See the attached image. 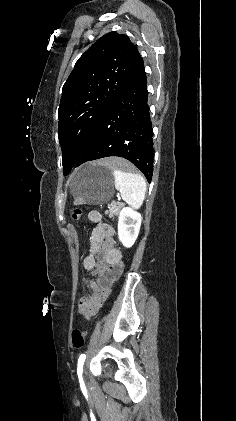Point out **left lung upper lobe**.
I'll list each match as a JSON object with an SVG mask.
<instances>
[{"label": "left lung upper lobe", "mask_w": 236, "mask_h": 421, "mask_svg": "<svg viewBox=\"0 0 236 421\" xmlns=\"http://www.w3.org/2000/svg\"><path fill=\"white\" fill-rule=\"evenodd\" d=\"M138 55L128 36L110 32L78 59L63 86L58 109L62 164L75 165L123 89Z\"/></svg>", "instance_id": "1"}]
</instances>
